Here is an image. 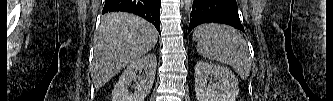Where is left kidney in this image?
Here are the masks:
<instances>
[{
	"mask_svg": "<svg viewBox=\"0 0 333 101\" xmlns=\"http://www.w3.org/2000/svg\"><path fill=\"white\" fill-rule=\"evenodd\" d=\"M212 77L217 81H212ZM195 92L198 101H235L238 80L227 67L199 61L195 66Z\"/></svg>",
	"mask_w": 333,
	"mask_h": 101,
	"instance_id": "left-kidney-1",
	"label": "left kidney"
}]
</instances>
